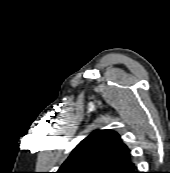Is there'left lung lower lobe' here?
Masks as SVG:
<instances>
[{"instance_id":"0a47b994","label":"left lung lower lobe","mask_w":170,"mask_h":173,"mask_svg":"<svg viewBox=\"0 0 170 173\" xmlns=\"http://www.w3.org/2000/svg\"><path fill=\"white\" fill-rule=\"evenodd\" d=\"M120 173H138L134 163H131L126 168H124Z\"/></svg>"}]
</instances>
